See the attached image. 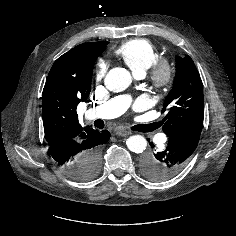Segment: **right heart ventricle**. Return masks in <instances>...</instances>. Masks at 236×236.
Wrapping results in <instances>:
<instances>
[{
  "mask_svg": "<svg viewBox=\"0 0 236 236\" xmlns=\"http://www.w3.org/2000/svg\"><path fill=\"white\" fill-rule=\"evenodd\" d=\"M114 54L126 63L136 75H144L161 56L159 48L145 38H134L118 46Z\"/></svg>",
  "mask_w": 236,
  "mask_h": 236,
  "instance_id": "obj_1",
  "label": "right heart ventricle"
}]
</instances>
